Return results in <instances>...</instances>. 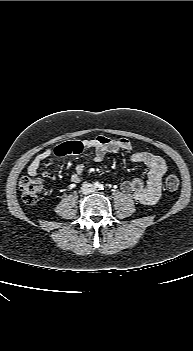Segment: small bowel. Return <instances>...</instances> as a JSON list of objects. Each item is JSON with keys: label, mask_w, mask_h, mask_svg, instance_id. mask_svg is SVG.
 <instances>
[{"label": "small bowel", "mask_w": 193, "mask_h": 351, "mask_svg": "<svg viewBox=\"0 0 193 351\" xmlns=\"http://www.w3.org/2000/svg\"><path fill=\"white\" fill-rule=\"evenodd\" d=\"M131 142L124 138H109L106 136H97L92 139L76 140L70 142L59 143L53 149H45L40 152L28 165L27 172L30 176L37 175L41 163L50 156L54 161L64 160L66 157L79 156L85 150H93V160L102 161L109 153H117L119 151H131ZM131 161L136 164H142L147 169L146 180L135 178L125 181L121 185V190L127 195H131L135 200L146 204H155L161 196V180L167 171L166 161L153 153L146 151H135L131 155ZM46 175L53 178V171L46 170ZM84 177V164L78 163L75 172L71 176V181L78 183Z\"/></svg>", "instance_id": "small-bowel-1"}]
</instances>
